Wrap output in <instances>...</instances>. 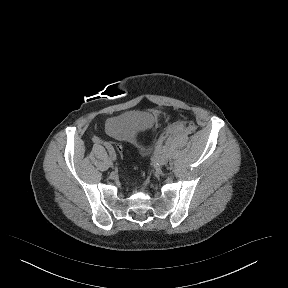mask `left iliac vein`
<instances>
[{
	"mask_svg": "<svg viewBox=\"0 0 288 288\" xmlns=\"http://www.w3.org/2000/svg\"><path fill=\"white\" fill-rule=\"evenodd\" d=\"M166 162H167V157H166V155H164V154H161V155L158 157V159H157V163H158V165H160V166L165 165Z\"/></svg>",
	"mask_w": 288,
	"mask_h": 288,
	"instance_id": "left-iliac-vein-1",
	"label": "left iliac vein"
}]
</instances>
